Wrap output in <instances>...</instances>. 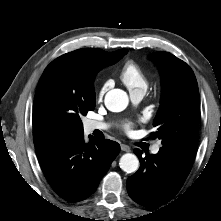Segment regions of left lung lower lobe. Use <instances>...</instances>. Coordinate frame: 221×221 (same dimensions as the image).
<instances>
[{
    "instance_id": "1",
    "label": "left lung lower lobe",
    "mask_w": 221,
    "mask_h": 221,
    "mask_svg": "<svg viewBox=\"0 0 221 221\" xmlns=\"http://www.w3.org/2000/svg\"><path fill=\"white\" fill-rule=\"evenodd\" d=\"M139 170L127 179L129 196L138 204L156 208L170 201L185 182L194 160V153L175 146H162L157 154L142 157Z\"/></svg>"
}]
</instances>
